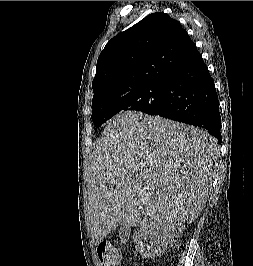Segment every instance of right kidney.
Here are the masks:
<instances>
[{"mask_svg":"<svg viewBox=\"0 0 253 266\" xmlns=\"http://www.w3.org/2000/svg\"><path fill=\"white\" fill-rule=\"evenodd\" d=\"M183 225L176 221H162L141 226L133 234L136 251L143 257L163 254L183 233Z\"/></svg>","mask_w":253,"mask_h":266,"instance_id":"1","label":"right kidney"}]
</instances>
